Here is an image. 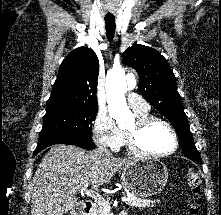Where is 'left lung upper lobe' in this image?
<instances>
[{"label": "left lung upper lobe", "instance_id": "1", "mask_svg": "<svg viewBox=\"0 0 221 215\" xmlns=\"http://www.w3.org/2000/svg\"><path fill=\"white\" fill-rule=\"evenodd\" d=\"M122 60L137 70L142 96L174 126L185 156L201 162L177 91L174 73L164 56L148 46L136 44L123 53Z\"/></svg>", "mask_w": 221, "mask_h": 215}]
</instances>
